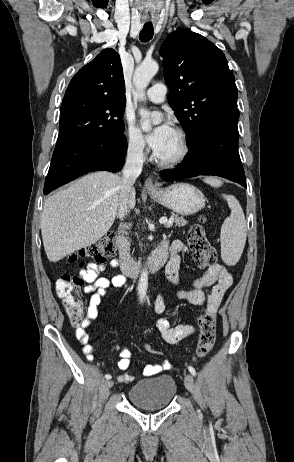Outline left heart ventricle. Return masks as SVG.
<instances>
[{
	"label": "left heart ventricle",
	"instance_id": "left-heart-ventricle-1",
	"mask_svg": "<svg viewBox=\"0 0 294 462\" xmlns=\"http://www.w3.org/2000/svg\"><path fill=\"white\" fill-rule=\"evenodd\" d=\"M181 150L180 141L177 134L171 136V138L165 144L162 152L158 156L162 159H169L175 157Z\"/></svg>",
	"mask_w": 294,
	"mask_h": 462
}]
</instances>
